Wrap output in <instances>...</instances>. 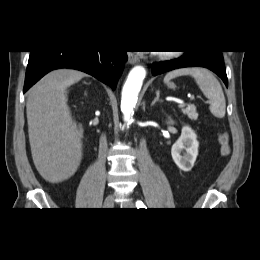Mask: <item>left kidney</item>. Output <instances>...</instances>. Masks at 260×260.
Here are the masks:
<instances>
[{"label":"left kidney","mask_w":260,"mask_h":260,"mask_svg":"<svg viewBox=\"0 0 260 260\" xmlns=\"http://www.w3.org/2000/svg\"><path fill=\"white\" fill-rule=\"evenodd\" d=\"M168 123L173 124L172 121ZM198 147L195 132L189 126H183L181 136L171 148L172 158L180 170L188 172L192 169L198 155Z\"/></svg>","instance_id":"left-kidney-1"}]
</instances>
